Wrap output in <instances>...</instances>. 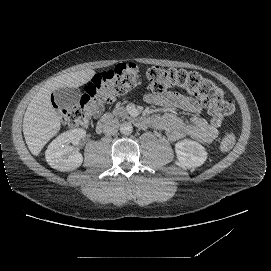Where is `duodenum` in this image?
Returning <instances> with one entry per match:
<instances>
[{
  "label": "duodenum",
  "instance_id": "obj_1",
  "mask_svg": "<svg viewBox=\"0 0 271 271\" xmlns=\"http://www.w3.org/2000/svg\"><path fill=\"white\" fill-rule=\"evenodd\" d=\"M137 123L140 126H145L147 124L145 119H139L137 120ZM117 128V122L115 121V119L111 116H104L102 117L96 126V130L98 133H102V134H112Z\"/></svg>",
  "mask_w": 271,
  "mask_h": 271
}]
</instances>
